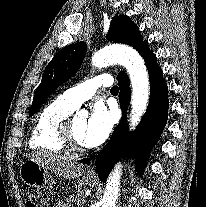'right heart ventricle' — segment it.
<instances>
[{
    "label": "right heart ventricle",
    "instance_id": "e07e8e85",
    "mask_svg": "<svg viewBox=\"0 0 206 207\" xmlns=\"http://www.w3.org/2000/svg\"><path fill=\"white\" fill-rule=\"evenodd\" d=\"M74 110L62 96L47 103L35 118L29 138L30 148L55 153L65 152L58 139V128Z\"/></svg>",
    "mask_w": 206,
    "mask_h": 207
}]
</instances>
